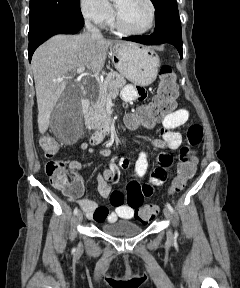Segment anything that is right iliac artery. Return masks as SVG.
<instances>
[{
    "label": "right iliac artery",
    "instance_id": "82829eb1",
    "mask_svg": "<svg viewBox=\"0 0 240 288\" xmlns=\"http://www.w3.org/2000/svg\"><path fill=\"white\" fill-rule=\"evenodd\" d=\"M78 208L76 207L75 209H74V215H76L77 213H78ZM73 251H75V249H73Z\"/></svg>",
    "mask_w": 240,
    "mask_h": 288
}]
</instances>
